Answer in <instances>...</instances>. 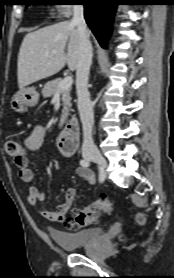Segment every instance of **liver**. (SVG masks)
<instances>
[{
  "label": "liver",
  "instance_id": "6515ba94",
  "mask_svg": "<svg viewBox=\"0 0 174 278\" xmlns=\"http://www.w3.org/2000/svg\"><path fill=\"white\" fill-rule=\"evenodd\" d=\"M79 43L78 30L69 21L28 33L22 41L18 54L19 88L23 89L58 73L65 63L71 71H74L79 59Z\"/></svg>",
  "mask_w": 174,
  "mask_h": 278
}]
</instances>
